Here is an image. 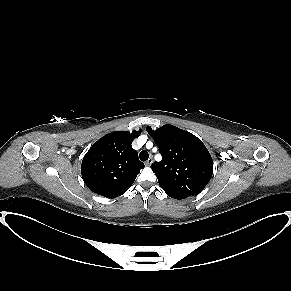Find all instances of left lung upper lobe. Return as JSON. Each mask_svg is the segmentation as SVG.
<instances>
[{"label":"left lung upper lobe","mask_w":291,"mask_h":291,"mask_svg":"<svg viewBox=\"0 0 291 291\" xmlns=\"http://www.w3.org/2000/svg\"><path fill=\"white\" fill-rule=\"evenodd\" d=\"M162 155L151 169L160 187L176 199L198 195L210 181L213 173L212 157L195 135L166 124L156 130L147 127Z\"/></svg>","instance_id":"obj_1"}]
</instances>
